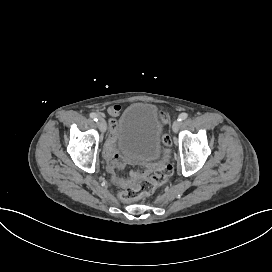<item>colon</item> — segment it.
Returning a JSON list of instances; mask_svg holds the SVG:
<instances>
[{
  "label": "colon",
  "instance_id": "obj_1",
  "mask_svg": "<svg viewBox=\"0 0 272 272\" xmlns=\"http://www.w3.org/2000/svg\"><path fill=\"white\" fill-rule=\"evenodd\" d=\"M162 115H166L164 111H161ZM162 119H166L163 117ZM162 139L169 140L168 135H163ZM125 160L122 157L112 161L110 167L114 169H122ZM173 166L170 163L163 164L162 167L154 170L152 174L142 173L134 174L131 177L115 176V182L122 186V193L129 196L131 199H136L140 195L150 196L154 193L155 187L165 183L168 177L172 174Z\"/></svg>",
  "mask_w": 272,
  "mask_h": 272
}]
</instances>
